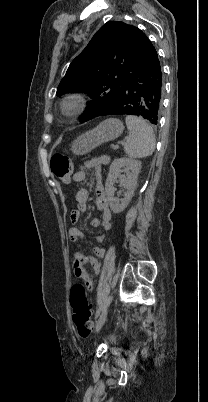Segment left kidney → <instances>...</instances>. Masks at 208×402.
Instances as JSON below:
<instances>
[{"label": "left kidney", "mask_w": 208, "mask_h": 402, "mask_svg": "<svg viewBox=\"0 0 208 402\" xmlns=\"http://www.w3.org/2000/svg\"><path fill=\"white\" fill-rule=\"evenodd\" d=\"M124 168V170H121ZM141 170L140 160H133V158H118L114 160L109 168V174L107 176L105 184V192L107 196V202L114 214H120L125 208H127L137 186L138 174ZM121 172H125L126 176H122ZM114 184H120L125 188L124 198L120 200L114 198Z\"/></svg>", "instance_id": "left-kidney-1"}]
</instances>
